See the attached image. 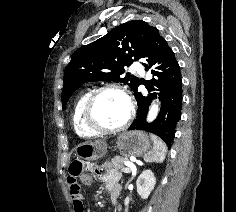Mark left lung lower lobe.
Wrapping results in <instances>:
<instances>
[{
	"instance_id": "1",
	"label": "left lung lower lobe",
	"mask_w": 236,
	"mask_h": 212,
	"mask_svg": "<svg viewBox=\"0 0 236 212\" xmlns=\"http://www.w3.org/2000/svg\"><path fill=\"white\" fill-rule=\"evenodd\" d=\"M143 59L146 62L143 63L145 70L152 68L153 78L145 84L148 94L138 92L139 85L134 90L138 110L136 120L129 129H141L156 134L170 146L176 123L181 117L182 79L174 52L155 27L151 31ZM156 95H159L161 101L160 112L153 122L147 123L148 107Z\"/></svg>"
}]
</instances>
